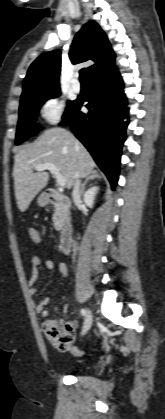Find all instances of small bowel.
Instances as JSON below:
<instances>
[{"instance_id":"obj_1","label":"small bowel","mask_w":165,"mask_h":419,"mask_svg":"<svg viewBox=\"0 0 165 419\" xmlns=\"http://www.w3.org/2000/svg\"><path fill=\"white\" fill-rule=\"evenodd\" d=\"M44 267L49 270H53L57 268L64 278H68L69 276L67 266L63 262H57L55 260L48 259L45 261ZM41 268H42L41 259L38 256L34 255L31 259V275H30V279L28 283V292L31 295L36 294V292L38 291V287L35 284L39 278ZM49 304H50V298L48 296L43 297L35 306L36 312L42 317H47ZM70 328L71 330H74L73 324L70 325ZM72 342H73V336L70 342L64 345H55V348L59 352H62V353H69L77 357L81 356L82 352L73 348Z\"/></svg>"}]
</instances>
